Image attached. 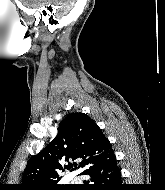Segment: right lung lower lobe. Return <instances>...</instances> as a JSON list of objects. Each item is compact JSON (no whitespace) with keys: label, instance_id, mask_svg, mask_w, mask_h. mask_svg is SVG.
<instances>
[{"label":"right lung lower lobe","instance_id":"obj_1","mask_svg":"<svg viewBox=\"0 0 165 190\" xmlns=\"http://www.w3.org/2000/svg\"><path fill=\"white\" fill-rule=\"evenodd\" d=\"M82 175L89 179L83 190H126V185L121 183V174L114 154L104 159L97 165L89 168Z\"/></svg>","mask_w":165,"mask_h":190}]
</instances>
